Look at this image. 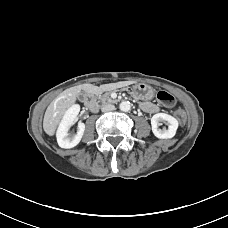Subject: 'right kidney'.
I'll return each instance as SVG.
<instances>
[{"mask_svg":"<svg viewBox=\"0 0 228 228\" xmlns=\"http://www.w3.org/2000/svg\"><path fill=\"white\" fill-rule=\"evenodd\" d=\"M80 106L72 105L65 113L57 131V142L61 148L69 149L79 144L85 131V124L79 122L77 125V133H70V128L75 124Z\"/></svg>","mask_w":228,"mask_h":228,"instance_id":"ca27d5eb","label":"right kidney"}]
</instances>
